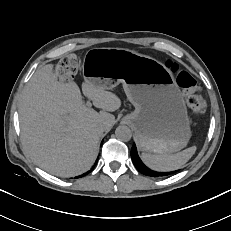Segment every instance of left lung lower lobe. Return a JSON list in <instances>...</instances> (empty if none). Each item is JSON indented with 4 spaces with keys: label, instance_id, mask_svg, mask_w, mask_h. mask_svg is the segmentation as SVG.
<instances>
[{
    "label": "left lung lower lobe",
    "instance_id": "left-lung-lower-lobe-1",
    "mask_svg": "<svg viewBox=\"0 0 231 231\" xmlns=\"http://www.w3.org/2000/svg\"><path fill=\"white\" fill-rule=\"evenodd\" d=\"M131 157L132 161L137 168V170L145 175L152 176V177H162V176H167L171 175L177 171H171V172H155L150 169H148L140 160L137 154L136 146L133 144V147L131 149Z\"/></svg>",
    "mask_w": 231,
    "mask_h": 231
}]
</instances>
